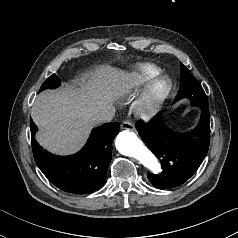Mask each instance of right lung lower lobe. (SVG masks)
Segmentation results:
<instances>
[{
	"label": "right lung lower lobe",
	"instance_id": "right-lung-lower-lobe-1",
	"mask_svg": "<svg viewBox=\"0 0 238 238\" xmlns=\"http://www.w3.org/2000/svg\"><path fill=\"white\" fill-rule=\"evenodd\" d=\"M30 129L35 162L57 188L73 194H87L104 184L112 156V141L119 132L117 122L94 128L84 148L67 157L43 150L34 138L37 126L32 121Z\"/></svg>",
	"mask_w": 238,
	"mask_h": 238
}]
</instances>
